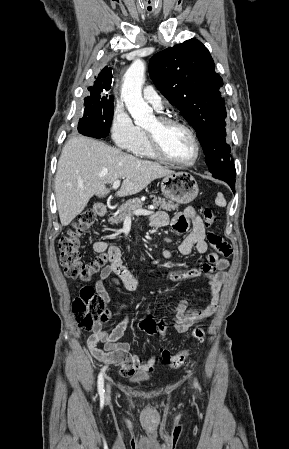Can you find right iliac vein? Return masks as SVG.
<instances>
[{
    "label": "right iliac vein",
    "instance_id": "63e3f726",
    "mask_svg": "<svg viewBox=\"0 0 289 449\" xmlns=\"http://www.w3.org/2000/svg\"><path fill=\"white\" fill-rule=\"evenodd\" d=\"M109 395H110V387L107 386V397H109Z\"/></svg>",
    "mask_w": 289,
    "mask_h": 449
}]
</instances>
